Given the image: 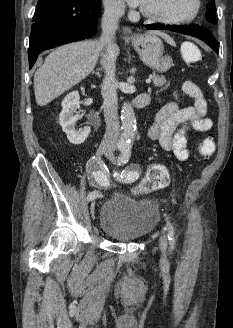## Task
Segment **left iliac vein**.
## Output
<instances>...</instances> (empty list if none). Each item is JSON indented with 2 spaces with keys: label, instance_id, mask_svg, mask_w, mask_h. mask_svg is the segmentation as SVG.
<instances>
[{
  "label": "left iliac vein",
  "instance_id": "1",
  "mask_svg": "<svg viewBox=\"0 0 233 328\" xmlns=\"http://www.w3.org/2000/svg\"><path fill=\"white\" fill-rule=\"evenodd\" d=\"M106 156H107V158H108L109 161L114 162L115 157H114L112 151H109ZM159 246H160V249H161L162 252H165L166 251L167 241H166L165 236H162L160 238V240H159Z\"/></svg>",
  "mask_w": 233,
  "mask_h": 328
}]
</instances>
